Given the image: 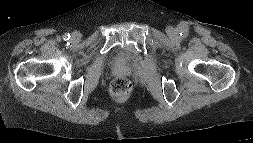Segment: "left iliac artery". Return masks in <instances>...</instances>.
<instances>
[{
  "instance_id": "obj_1",
  "label": "left iliac artery",
  "mask_w": 253,
  "mask_h": 143,
  "mask_svg": "<svg viewBox=\"0 0 253 143\" xmlns=\"http://www.w3.org/2000/svg\"><path fill=\"white\" fill-rule=\"evenodd\" d=\"M188 32H189L188 29H183V30L180 31V36L182 38H186L187 35H188Z\"/></svg>"
}]
</instances>
